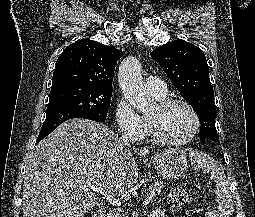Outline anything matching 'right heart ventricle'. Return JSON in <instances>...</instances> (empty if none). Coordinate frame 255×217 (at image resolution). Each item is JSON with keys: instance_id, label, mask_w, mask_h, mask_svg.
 <instances>
[{"instance_id": "right-heart-ventricle-1", "label": "right heart ventricle", "mask_w": 255, "mask_h": 217, "mask_svg": "<svg viewBox=\"0 0 255 217\" xmlns=\"http://www.w3.org/2000/svg\"><path fill=\"white\" fill-rule=\"evenodd\" d=\"M158 100H162V99H164L165 98V96H156V95H154ZM145 120V122H146V125H147V131H148V124H147V119L145 118L144 119ZM146 131V132H147Z\"/></svg>"}]
</instances>
